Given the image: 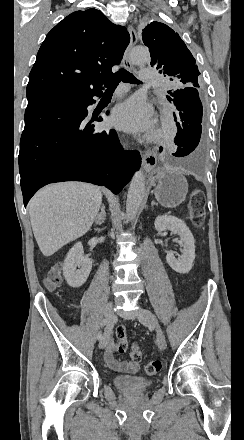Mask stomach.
Returning <instances> with one entry per match:
<instances>
[{
	"instance_id": "0dacf381",
	"label": "stomach",
	"mask_w": 244,
	"mask_h": 440,
	"mask_svg": "<svg viewBox=\"0 0 244 440\" xmlns=\"http://www.w3.org/2000/svg\"><path fill=\"white\" fill-rule=\"evenodd\" d=\"M158 184L155 198L165 208H176L184 202L188 192V182L179 170H155Z\"/></svg>"
}]
</instances>
